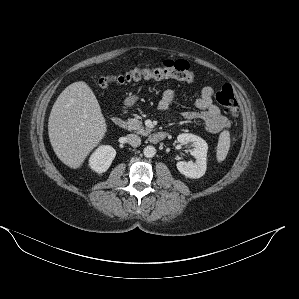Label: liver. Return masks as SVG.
Wrapping results in <instances>:
<instances>
[{
  "mask_svg": "<svg viewBox=\"0 0 299 299\" xmlns=\"http://www.w3.org/2000/svg\"><path fill=\"white\" fill-rule=\"evenodd\" d=\"M107 131L92 89L83 81L67 86L55 101L48 122L51 146L68 167L77 169Z\"/></svg>",
  "mask_w": 299,
  "mask_h": 299,
  "instance_id": "1",
  "label": "liver"
}]
</instances>
